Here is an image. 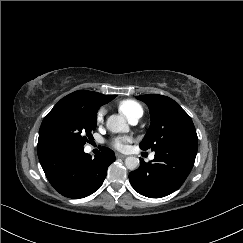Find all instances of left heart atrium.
Wrapping results in <instances>:
<instances>
[{"mask_svg": "<svg viewBox=\"0 0 243 243\" xmlns=\"http://www.w3.org/2000/svg\"><path fill=\"white\" fill-rule=\"evenodd\" d=\"M129 141H130L129 138L126 137H116L112 139L111 145L115 149L123 151L127 148Z\"/></svg>", "mask_w": 243, "mask_h": 243, "instance_id": "1", "label": "left heart atrium"}]
</instances>
